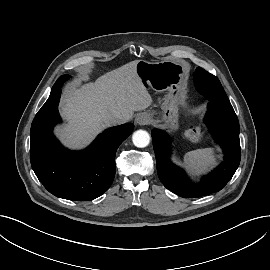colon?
<instances>
[{"instance_id":"colon-1","label":"colon","mask_w":270,"mask_h":270,"mask_svg":"<svg viewBox=\"0 0 270 270\" xmlns=\"http://www.w3.org/2000/svg\"><path fill=\"white\" fill-rule=\"evenodd\" d=\"M187 136L192 141H195V142H200V141L207 140V137H206L203 129L200 126L195 125V124H191L188 127Z\"/></svg>"}]
</instances>
